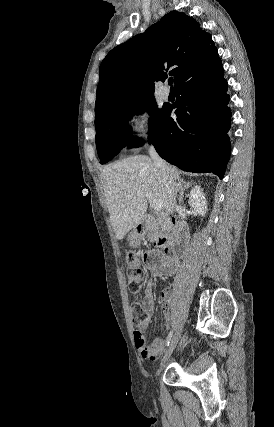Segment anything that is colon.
Listing matches in <instances>:
<instances>
[{
    "label": "colon",
    "instance_id": "1",
    "mask_svg": "<svg viewBox=\"0 0 274 427\" xmlns=\"http://www.w3.org/2000/svg\"><path fill=\"white\" fill-rule=\"evenodd\" d=\"M142 263V254L133 251L129 252L127 281L128 289L131 294L139 292L144 284ZM130 313L135 320L142 319L144 316V310L141 304L137 302H132L130 304Z\"/></svg>",
    "mask_w": 274,
    "mask_h": 427
}]
</instances>
